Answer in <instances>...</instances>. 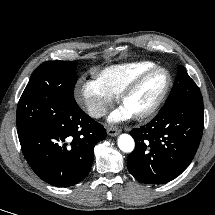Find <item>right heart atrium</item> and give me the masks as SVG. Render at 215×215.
Returning a JSON list of instances; mask_svg holds the SVG:
<instances>
[{
    "label": "right heart atrium",
    "mask_w": 215,
    "mask_h": 215,
    "mask_svg": "<svg viewBox=\"0 0 215 215\" xmlns=\"http://www.w3.org/2000/svg\"><path fill=\"white\" fill-rule=\"evenodd\" d=\"M74 98L92 118L99 119L113 106L116 95L95 79H80L74 90Z\"/></svg>",
    "instance_id": "right-heart-atrium-1"
}]
</instances>
